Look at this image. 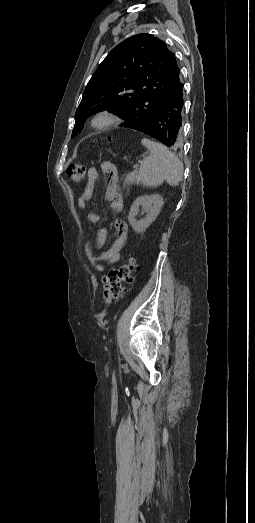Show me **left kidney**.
I'll use <instances>...</instances> for the list:
<instances>
[{
  "label": "left kidney",
  "instance_id": "left-kidney-1",
  "mask_svg": "<svg viewBox=\"0 0 255 523\" xmlns=\"http://www.w3.org/2000/svg\"><path fill=\"white\" fill-rule=\"evenodd\" d=\"M163 204V198L162 196H158V194H152V196H140V198H136L135 202H133L130 208L128 216V222H130L133 230L138 232V234L145 232L146 228H148V226L154 222L155 218H157ZM139 206L144 208L145 212H147V216L138 222L135 216H137V212H139Z\"/></svg>",
  "mask_w": 255,
  "mask_h": 523
}]
</instances>
